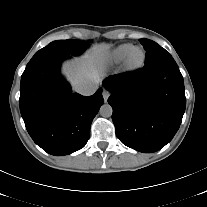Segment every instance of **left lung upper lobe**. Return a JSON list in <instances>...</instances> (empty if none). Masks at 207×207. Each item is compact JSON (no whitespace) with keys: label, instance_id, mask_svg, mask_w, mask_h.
<instances>
[{"label":"left lung upper lobe","instance_id":"obj_1","mask_svg":"<svg viewBox=\"0 0 207 207\" xmlns=\"http://www.w3.org/2000/svg\"><path fill=\"white\" fill-rule=\"evenodd\" d=\"M140 43L146 51L145 67L154 66L159 63L173 60L169 52L158 45L156 42L149 39H140Z\"/></svg>","mask_w":207,"mask_h":207}]
</instances>
